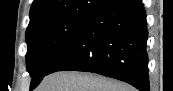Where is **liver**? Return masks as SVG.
<instances>
[{"instance_id": "liver-1", "label": "liver", "mask_w": 173, "mask_h": 91, "mask_svg": "<svg viewBox=\"0 0 173 91\" xmlns=\"http://www.w3.org/2000/svg\"><path fill=\"white\" fill-rule=\"evenodd\" d=\"M36 91H135L124 82L98 74L60 71L43 78Z\"/></svg>"}]
</instances>
